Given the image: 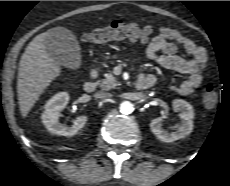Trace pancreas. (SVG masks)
<instances>
[{
	"mask_svg": "<svg viewBox=\"0 0 230 186\" xmlns=\"http://www.w3.org/2000/svg\"><path fill=\"white\" fill-rule=\"evenodd\" d=\"M99 85L102 91H107L112 88H115L118 85V82L114 78V76L109 73L106 75V78L99 81Z\"/></svg>",
	"mask_w": 230,
	"mask_h": 186,
	"instance_id": "pancreas-1",
	"label": "pancreas"
}]
</instances>
